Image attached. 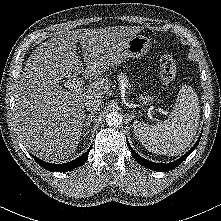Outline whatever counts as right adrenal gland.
Masks as SVG:
<instances>
[{"mask_svg":"<svg viewBox=\"0 0 221 221\" xmlns=\"http://www.w3.org/2000/svg\"><path fill=\"white\" fill-rule=\"evenodd\" d=\"M95 115V112H91L89 115H87L86 121L83 124V133L87 135L90 132V127L92 123V119Z\"/></svg>","mask_w":221,"mask_h":221,"instance_id":"1","label":"right adrenal gland"}]
</instances>
